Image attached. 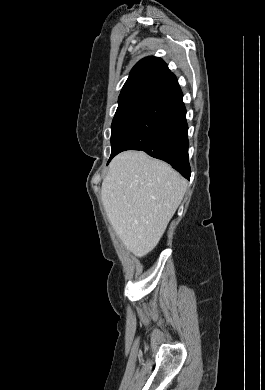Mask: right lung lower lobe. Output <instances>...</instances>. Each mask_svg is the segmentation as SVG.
Returning a JSON list of instances; mask_svg holds the SVG:
<instances>
[{
    "label": "right lung lower lobe",
    "mask_w": 265,
    "mask_h": 390,
    "mask_svg": "<svg viewBox=\"0 0 265 390\" xmlns=\"http://www.w3.org/2000/svg\"><path fill=\"white\" fill-rule=\"evenodd\" d=\"M188 125L183 94L179 85L155 99L126 128L110 160L125 150H142L169 163L186 179L188 161Z\"/></svg>",
    "instance_id": "obj_1"
}]
</instances>
